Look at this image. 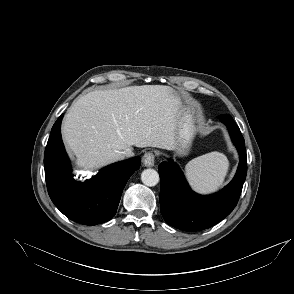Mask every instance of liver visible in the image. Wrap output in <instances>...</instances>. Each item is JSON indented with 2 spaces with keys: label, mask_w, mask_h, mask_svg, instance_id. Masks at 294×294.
Listing matches in <instances>:
<instances>
[{
  "label": "liver",
  "mask_w": 294,
  "mask_h": 294,
  "mask_svg": "<svg viewBox=\"0 0 294 294\" xmlns=\"http://www.w3.org/2000/svg\"><path fill=\"white\" fill-rule=\"evenodd\" d=\"M181 101L164 85L96 90L69 108L62 126L65 142L84 169L124 159L132 146L173 149Z\"/></svg>",
  "instance_id": "liver-1"
}]
</instances>
